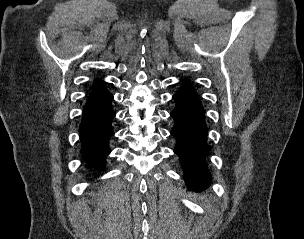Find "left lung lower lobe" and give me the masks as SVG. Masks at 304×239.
<instances>
[{
	"instance_id": "0a47b994",
	"label": "left lung lower lobe",
	"mask_w": 304,
	"mask_h": 239,
	"mask_svg": "<svg viewBox=\"0 0 304 239\" xmlns=\"http://www.w3.org/2000/svg\"><path fill=\"white\" fill-rule=\"evenodd\" d=\"M176 107L171 112L174 127L171 134L176 138L174 152L184 166V179L189 190L198 191L210 182V172L205 157L210 149L206 144L207 126L204 110L198 94L189 84L173 96Z\"/></svg>"
}]
</instances>
